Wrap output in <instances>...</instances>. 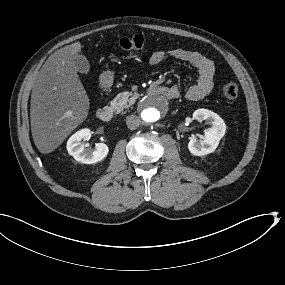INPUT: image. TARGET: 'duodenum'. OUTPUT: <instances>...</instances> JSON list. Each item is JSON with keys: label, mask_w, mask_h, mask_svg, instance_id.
I'll list each match as a JSON object with an SVG mask.
<instances>
[{"label": "duodenum", "mask_w": 285, "mask_h": 285, "mask_svg": "<svg viewBox=\"0 0 285 285\" xmlns=\"http://www.w3.org/2000/svg\"><path fill=\"white\" fill-rule=\"evenodd\" d=\"M149 92L161 95L165 98L172 99L177 97L174 89L162 85H152L149 87ZM97 118L103 122H108L113 118L114 111L109 106L101 107L97 110Z\"/></svg>", "instance_id": "duodenum-1"}]
</instances>
